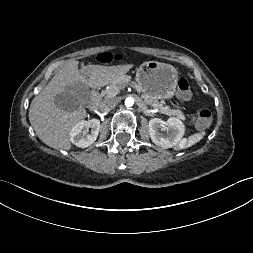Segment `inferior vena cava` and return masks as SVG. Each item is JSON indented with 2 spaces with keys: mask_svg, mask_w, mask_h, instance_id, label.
Here are the masks:
<instances>
[{
  "mask_svg": "<svg viewBox=\"0 0 253 253\" xmlns=\"http://www.w3.org/2000/svg\"><path fill=\"white\" fill-rule=\"evenodd\" d=\"M119 102L118 98H110V99H105L101 105L100 109L102 111H109L110 109L114 108Z\"/></svg>",
  "mask_w": 253,
  "mask_h": 253,
  "instance_id": "1",
  "label": "inferior vena cava"
}]
</instances>
